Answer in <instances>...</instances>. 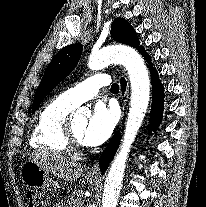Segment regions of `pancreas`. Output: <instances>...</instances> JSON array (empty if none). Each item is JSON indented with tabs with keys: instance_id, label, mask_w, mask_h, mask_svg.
<instances>
[{
	"instance_id": "obj_1",
	"label": "pancreas",
	"mask_w": 206,
	"mask_h": 207,
	"mask_svg": "<svg viewBox=\"0 0 206 207\" xmlns=\"http://www.w3.org/2000/svg\"><path fill=\"white\" fill-rule=\"evenodd\" d=\"M81 196H82L81 191L72 192L71 195L67 198V204L61 202L56 204L54 207H81L82 204Z\"/></svg>"
}]
</instances>
